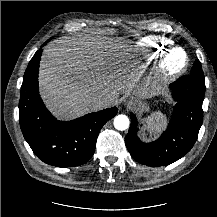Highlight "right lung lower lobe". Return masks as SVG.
<instances>
[{"instance_id":"1","label":"right lung lower lobe","mask_w":217,"mask_h":217,"mask_svg":"<svg viewBox=\"0 0 217 217\" xmlns=\"http://www.w3.org/2000/svg\"><path fill=\"white\" fill-rule=\"evenodd\" d=\"M41 54L42 49H39L23 77L19 102L22 133L43 162L57 167L82 165L92 157L100 129L117 114L118 109L108 108L69 122L57 120L39 96Z\"/></svg>"}]
</instances>
